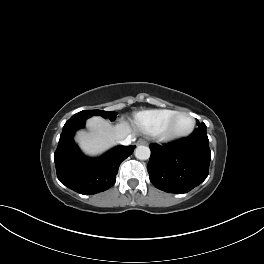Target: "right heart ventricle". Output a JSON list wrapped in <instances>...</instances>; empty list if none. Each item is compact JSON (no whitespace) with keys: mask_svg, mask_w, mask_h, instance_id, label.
I'll return each mask as SVG.
<instances>
[{"mask_svg":"<svg viewBox=\"0 0 264 264\" xmlns=\"http://www.w3.org/2000/svg\"><path fill=\"white\" fill-rule=\"evenodd\" d=\"M175 112L172 109L142 111L135 116V121L145 134L156 135L163 129Z\"/></svg>","mask_w":264,"mask_h":264,"instance_id":"e07e8e85","label":"right heart ventricle"}]
</instances>
